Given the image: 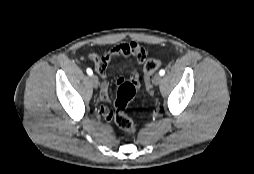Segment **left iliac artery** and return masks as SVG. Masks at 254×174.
Returning <instances> with one entry per match:
<instances>
[{
	"label": "left iliac artery",
	"instance_id": "1",
	"mask_svg": "<svg viewBox=\"0 0 254 174\" xmlns=\"http://www.w3.org/2000/svg\"><path fill=\"white\" fill-rule=\"evenodd\" d=\"M159 74H160L161 76H163V75L165 74V70H164V69H161V70L159 71Z\"/></svg>",
	"mask_w": 254,
	"mask_h": 174
}]
</instances>
